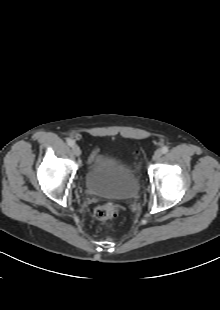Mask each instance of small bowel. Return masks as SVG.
Here are the masks:
<instances>
[{
	"mask_svg": "<svg viewBox=\"0 0 220 310\" xmlns=\"http://www.w3.org/2000/svg\"><path fill=\"white\" fill-rule=\"evenodd\" d=\"M100 153L98 150H95L92 152L91 156H90V162L91 163H96L98 161H100Z\"/></svg>",
	"mask_w": 220,
	"mask_h": 310,
	"instance_id": "obj_1",
	"label": "small bowel"
}]
</instances>
